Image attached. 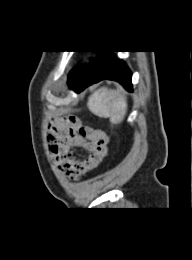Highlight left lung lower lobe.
Segmentation results:
<instances>
[{
  "label": "left lung lower lobe",
  "mask_w": 192,
  "mask_h": 260,
  "mask_svg": "<svg viewBox=\"0 0 192 260\" xmlns=\"http://www.w3.org/2000/svg\"><path fill=\"white\" fill-rule=\"evenodd\" d=\"M103 52L89 64L75 91H83L89 85L103 79L116 80L126 90L132 91L131 72L129 68L122 60L115 58L112 51Z\"/></svg>",
  "instance_id": "left-lung-lower-lobe-1"
}]
</instances>
